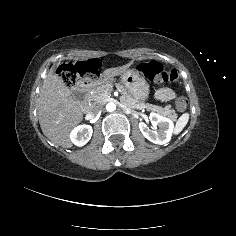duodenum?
Returning <instances> with one entry per match:
<instances>
[{
  "label": "duodenum",
  "instance_id": "1",
  "mask_svg": "<svg viewBox=\"0 0 236 236\" xmlns=\"http://www.w3.org/2000/svg\"><path fill=\"white\" fill-rule=\"evenodd\" d=\"M97 82V78L90 75L82 78L73 88V95L79 104L81 112L88 110V103L86 100V94L88 90Z\"/></svg>",
  "mask_w": 236,
  "mask_h": 236
}]
</instances>
